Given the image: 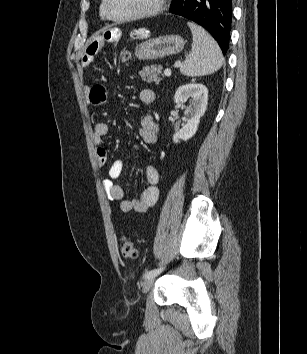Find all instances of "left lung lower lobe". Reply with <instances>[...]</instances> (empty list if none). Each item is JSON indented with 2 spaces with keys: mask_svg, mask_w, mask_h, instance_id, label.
Masks as SVG:
<instances>
[{
  "mask_svg": "<svg viewBox=\"0 0 307 354\" xmlns=\"http://www.w3.org/2000/svg\"><path fill=\"white\" fill-rule=\"evenodd\" d=\"M171 13L203 26L227 52L232 22V0H173Z\"/></svg>",
  "mask_w": 307,
  "mask_h": 354,
  "instance_id": "0a47b994",
  "label": "left lung lower lobe"
}]
</instances>
